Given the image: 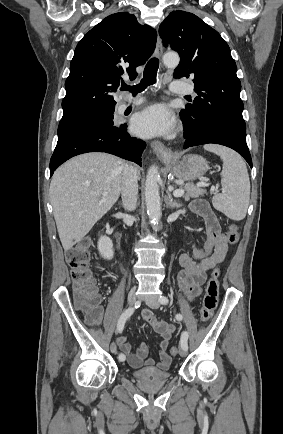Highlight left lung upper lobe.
<instances>
[{"mask_svg": "<svg viewBox=\"0 0 283 434\" xmlns=\"http://www.w3.org/2000/svg\"><path fill=\"white\" fill-rule=\"evenodd\" d=\"M159 34L164 46L180 55L174 78H192L198 94L180 112L187 135L217 124L246 131L237 66L220 34L196 15L179 10L161 23Z\"/></svg>", "mask_w": 283, "mask_h": 434, "instance_id": "5c2ea615", "label": "left lung upper lobe"}]
</instances>
